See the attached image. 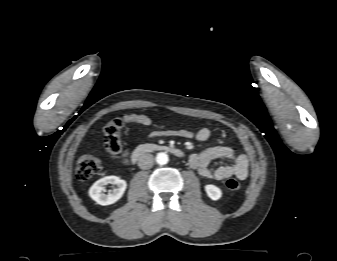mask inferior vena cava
<instances>
[{
	"mask_svg": "<svg viewBox=\"0 0 337 261\" xmlns=\"http://www.w3.org/2000/svg\"><path fill=\"white\" fill-rule=\"evenodd\" d=\"M154 164V158L152 154H143L138 159V166L140 169H150Z\"/></svg>",
	"mask_w": 337,
	"mask_h": 261,
	"instance_id": "1",
	"label": "inferior vena cava"
}]
</instances>
